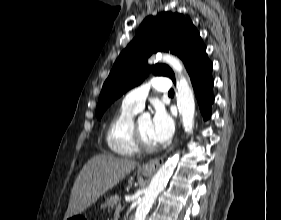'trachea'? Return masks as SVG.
<instances>
[{"label":"trachea","mask_w":281,"mask_h":220,"mask_svg":"<svg viewBox=\"0 0 281 220\" xmlns=\"http://www.w3.org/2000/svg\"><path fill=\"white\" fill-rule=\"evenodd\" d=\"M169 94H174V90L170 89Z\"/></svg>","instance_id":"1"}]
</instances>
